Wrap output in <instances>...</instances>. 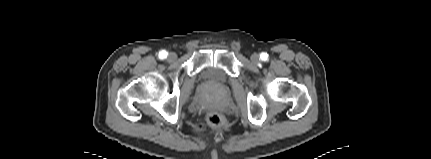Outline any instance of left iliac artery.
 I'll list each match as a JSON object with an SVG mask.
<instances>
[{
	"label": "left iliac artery",
	"mask_w": 431,
	"mask_h": 159,
	"mask_svg": "<svg viewBox=\"0 0 431 159\" xmlns=\"http://www.w3.org/2000/svg\"><path fill=\"white\" fill-rule=\"evenodd\" d=\"M260 57H261L262 60H266L267 59V54L266 53H262L260 55Z\"/></svg>",
	"instance_id": "1"
}]
</instances>
